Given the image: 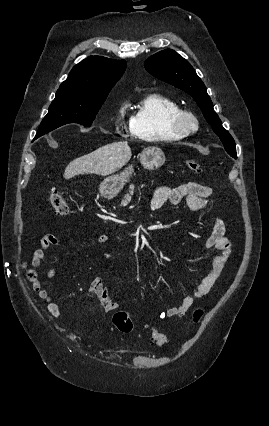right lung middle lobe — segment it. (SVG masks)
I'll return each mask as SVG.
<instances>
[{
    "mask_svg": "<svg viewBox=\"0 0 269 426\" xmlns=\"http://www.w3.org/2000/svg\"><path fill=\"white\" fill-rule=\"evenodd\" d=\"M107 96L79 98L68 95H56L49 107L48 114L42 120L38 137L68 123L91 126L96 114Z\"/></svg>",
    "mask_w": 269,
    "mask_h": 426,
    "instance_id": "1",
    "label": "right lung middle lobe"
}]
</instances>
